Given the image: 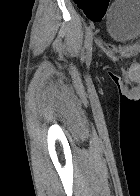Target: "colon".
Returning a JSON list of instances; mask_svg holds the SVG:
<instances>
[{"label": "colon", "instance_id": "5ec220e1", "mask_svg": "<svg viewBox=\"0 0 140 196\" xmlns=\"http://www.w3.org/2000/svg\"><path fill=\"white\" fill-rule=\"evenodd\" d=\"M76 4L83 5L85 2L83 0H74Z\"/></svg>", "mask_w": 140, "mask_h": 196}]
</instances>
